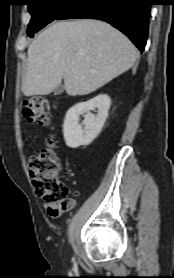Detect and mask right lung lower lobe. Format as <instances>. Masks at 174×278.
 Wrapping results in <instances>:
<instances>
[{"mask_svg": "<svg viewBox=\"0 0 174 278\" xmlns=\"http://www.w3.org/2000/svg\"><path fill=\"white\" fill-rule=\"evenodd\" d=\"M151 0H76L56 19L93 18L108 22L143 51Z\"/></svg>", "mask_w": 174, "mask_h": 278, "instance_id": "obj_1", "label": "right lung lower lobe"}]
</instances>
